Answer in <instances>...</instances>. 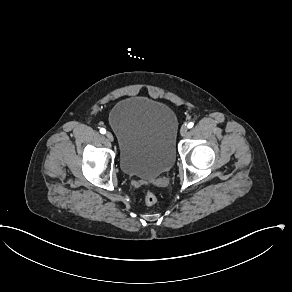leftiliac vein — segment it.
<instances>
[{"instance_id":"obj_1","label":"left iliac vein","mask_w":292,"mask_h":292,"mask_svg":"<svg viewBox=\"0 0 292 292\" xmlns=\"http://www.w3.org/2000/svg\"><path fill=\"white\" fill-rule=\"evenodd\" d=\"M188 133V127L187 126H182L181 129H180V135L181 136H186Z\"/></svg>"}]
</instances>
